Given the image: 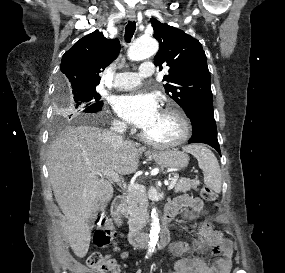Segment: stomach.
Instances as JSON below:
<instances>
[{"mask_svg":"<svg viewBox=\"0 0 285 273\" xmlns=\"http://www.w3.org/2000/svg\"><path fill=\"white\" fill-rule=\"evenodd\" d=\"M151 157L161 166L172 169L185 168L189 163V157L179 150L155 152Z\"/></svg>","mask_w":285,"mask_h":273,"instance_id":"obj_1","label":"stomach"}]
</instances>
